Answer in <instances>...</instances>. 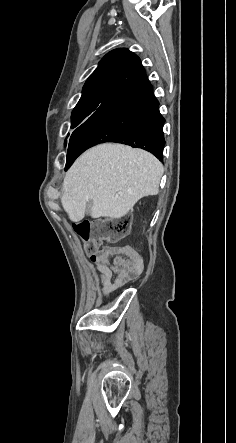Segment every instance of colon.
Instances as JSON below:
<instances>
[{
	"label": "colon",
	"mask_w": 236,
	"mask_h": 443,
	"mask_svg": "<svg viewBox=\"0 0 236 443\" xmlns=\"http://www.w3.org/2000/svg\"><path fill=\"white\" fill-rule=\"evenodd\" d=\"M79 238L86 243L90 256H95L103 243H114L123 239L130 231V217L112 219L109 221L90 222L82 220L74 227Z\"/></svg>",
	"instance_id": "5ec220e1"
}]
</instances>
